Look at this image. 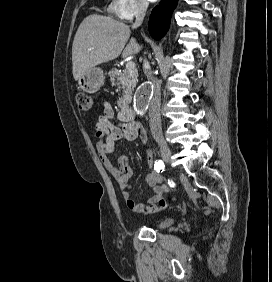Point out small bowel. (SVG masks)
<instances>
[{"label": "small bowel", "instance_id": "small-bowel-1", "mask_svg": "<svg viewBox=\"0 0 272 282\" xmlns=\"http://www.w3.org/2000/svg\"><path fill=\"white\" fill-rule=\"evenodd\" d=\"M115 114L112 106L105 103L103 113L98 116L94 123L95 135L98 138L96 144L97 152L109 173L118 182L122 197L126 206L133 212H142L143 208L148 204H156L159 202L161 194L168 189V185H162V176L159 173L151 172L146 175V183L152 188V194L144 197L143 200H136L131 195L133 185L130 180L133 176V170L129 165L128 158L120 155L117 162H114L109 155L114 151L115 144L118 140L125 138L133 141L140 139L141 144L145 146L147 135L139 122L112 124ZM147 164L149 167L153 165V157L147 150Z\"/></svg>", "mask_w": 272, "mask_h": 282}]
</instances>
